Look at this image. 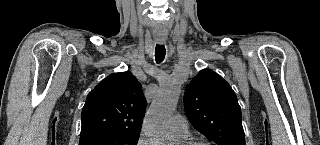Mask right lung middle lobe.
I'll list each match as a JSON object with an SVG mask.
<instances>
[{"instance_id":"right-lung-middle-lobe-1","label":"right lung middle lobe","mask_w":320,"mask_h":145,"mask_svg":"<svg viewBox=\"0 0 320 145\" xmlns=\"http://www.w3.org/2000/svg\"><path fill=\"white\" fill-rule=\"evenodd\" d=\"M140 133H98L80 138V145H137Z\"/></svg>"}]
</instances>
